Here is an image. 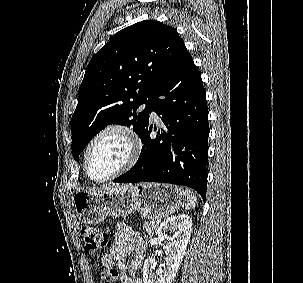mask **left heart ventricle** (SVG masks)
<instances>
[{
	"mask_svg": "<svg viewBox=\"0 0 303 283\" xmlns=\"http://www.w3.org/2000/svg\"><path fill=\"white\" fill-rule=\"evenodd\" d=\"M129 145L118 133H109L93 145L88 157V170L94 178H104L121 167L127 160Z\"/></svg>",
	"mask_w": 303,
	"mask_h": 283,
	"instance_id": "obj_1",
	"label": "left heart ventricle"
}]
</instances>
